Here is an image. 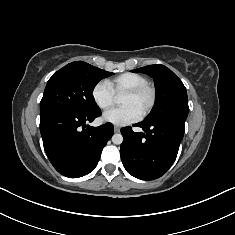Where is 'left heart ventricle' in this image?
Returning <instances> with one entry per match:
<instances>
[{
	"label": "left heart ventricle",
	"mask_w": 235,
	"mask_h": 235,
	"mask_svg": "<svg viewBox=\"0 0 235 235\" xmlns=\"http://www.w3.org/2000/svg\"><path fill=\"white\" fill-rule=\"evenodd\" d=\"M148 103V94L143 93L139 96H130L124 94L121 98L122 105H130L134 107L140 114Z\"/></svg>",
	"instance_id": "b2bd125f"
}]
</instances>
